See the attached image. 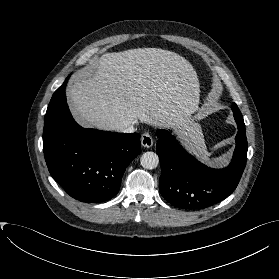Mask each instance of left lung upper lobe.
<instances>
[{
	"label": "left lung upper lobe",
	"mask_w": 279,
	"mask_h": 279,
	"mask_svg": "<svg viewBox=\"0 0 279 279\" xmlns=\"http://www.w3.org/2000/svg\"><path fill=\"white\" fill-rule=\"evenodd\" d=\"M232 110H233L234 118L243 121L242 114L235 103H233L232 105Z\"/></svg>",
	"instance_id": "5c2ea615"
}]
</instances>
